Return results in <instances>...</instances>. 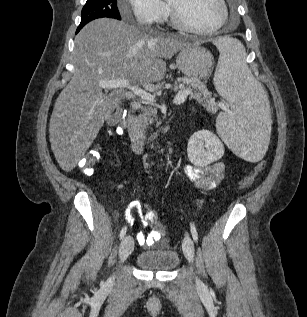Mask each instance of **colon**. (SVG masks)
Returning <instances> with one entry per match:
<instances>
[{
  "mask_svg": "<svg viewBox=\"0 0 307 317\" xmlns=\"http://www.w3.org/2000/svg\"><path fill=\"white\" fill-rule=\"evenodd\" d=\"M126 130V121L123 118H120L113 128V133L117 135H122L125 134ZM99 157L100 148L98 146L89 149L82 157V160L80 162L81 169L86 174H92L95 164L99 161ZM265 167L266 162L264 161L255 164L253 169L238 182V189L245 190L251 187L252 184L255 182L257 176L265 169ZM144 219L159 234L165 235V228L153 209H147L144 214Z\"/></svg>",
  "mask_w": 307,
  "mask_h": 317,
  "instance_id": "1",
  "label": "colon"
}]
</instances>
